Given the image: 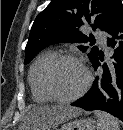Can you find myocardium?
Segmentation results:
<instances>
[{"label": "myocardium", "mask_w": 123, "mask_h": 130, "mask_svg": "<svg viewBox=\"0 0 123 130\" xmlns=\"http://www.w3.org/2000/svg\"><path fill=\"white\" fill-rule=\"evenodd\" d=\"M63 61L77 62L83 68L86 74V79L83 86L75 94L71 96L61 95L57 91L54 85V80H53L54 72L57 66ZM91 82H92V73L89 70V68L83 63V61L80 58L70 53H61V54L55 55L53 59L47 65L44 72V86H45L46 91L48 92V94L51 96V98L54 101H57L60 103H70L82 97L86 93L88 88L90 87Z\"/></svg>", "instance_id": "obj_1"}]
</instances>
